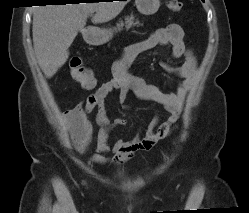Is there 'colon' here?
Listing matches in <instances>:
<instances>
[{
  "instance_id": "5ec220e1",
  "label": "colon",
  "mask_w": 249,
  "mask_h": 213,
  "mask_svg": "<svg viewBox=\"0 0 249 213\" xmlns=\"http://www.w3.org/2000/svg\"><path fill=\"white\" fill-rule=\"evenodd\" d=\"M168 8L173 12H179L182 9L180 0H167ZM70 73L73 80L83 88H91L95 85V78L92 72L84 66L81 58L72 57L69 61ZM72 135H76L72 132Z\"/></svg>"
}]
</instances>
